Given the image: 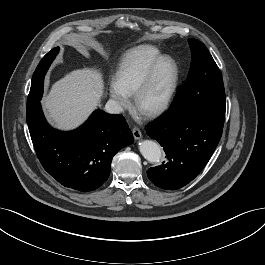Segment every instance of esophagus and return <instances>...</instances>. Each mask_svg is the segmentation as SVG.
<instances>
[{
  "label": "esophagus",
  "mask_w": 265,
  "mask_h": 265,
  "mask_svg": "<svg viewBox=\"0 0 265 265\" xmlns=\"http://www.w3.org/2000/svg\"><path fill=\"white\" fill-rule=\"evenodd\" d=\"M132 133L135 140H140L142 138V133L139 128L134 127Z\"/></svg>",
  "instance_id": "34e87169"
}]
</instances>
